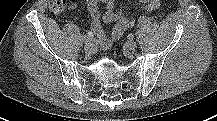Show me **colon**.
<instances>
[{"label":"colon","mask_w":217,"mask_h":121,"mask_svg":"<svg viewBox=\"0 0 217 121\" xmlns=\"http://www.w3.org/2000/svg\"><path fill=\"white\" fill-rule=\"evenodd\" d=\"M71 2H73V0H52L49 7L52 12L60 13L63 12Z\"/></svg>","instance_id":"1"}]
</instances>
